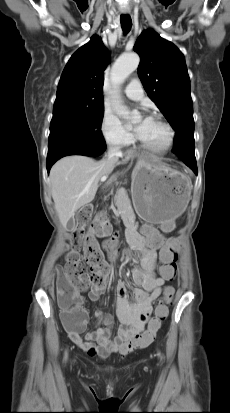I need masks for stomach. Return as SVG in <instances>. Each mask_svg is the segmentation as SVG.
<instances>
[{"label":"stomach","instance_id":"0dacf381","mask_svg":"<svg viewBox=\"0 0 230 413\" xmlns=\"http://www.w3.org/2000/svg\"><path fill=\"white\" fill-rule=\"evenodd\" d=\"M131 178L133 206L144 221L170 222L185 211L192 189L186 174L149 156L137 162Z\"/></svg>","mask_w":230,"mask_h":413}]
</instances>
